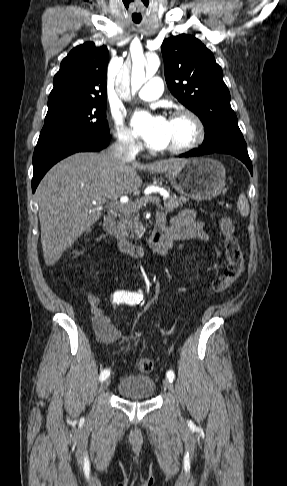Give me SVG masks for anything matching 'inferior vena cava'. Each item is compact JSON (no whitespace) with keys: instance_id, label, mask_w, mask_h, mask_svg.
<instances>
[{"instance_id":"1","label":"inferior vena cava","mask_w":287,"mask_h":486,"mask_svg":"<svg viewBox=\"0 0 287 486\" xmlns=\"http://www.w3.org/2000/svg\"><path fill=\"white\" fill-rule=\"evenodd\" d=\"M110 152L122 161H134L137 154V146L133 138L129 135L118 137L117 142L111 145Z\"/></svg>"}]
</instances>
